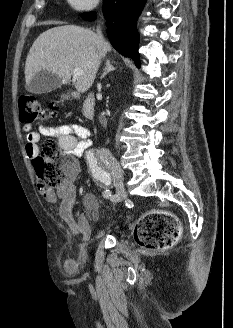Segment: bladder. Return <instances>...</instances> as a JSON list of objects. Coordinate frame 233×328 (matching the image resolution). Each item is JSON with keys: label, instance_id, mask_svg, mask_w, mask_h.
<instances>
[{"label": "bladder", "instance_id": "1", "mask_svg": "<svg viewBox=\"0 0 233 328\" xmlns=\"http://www.w3.org/2000/svg\"><path fill=\"white\" fill-rule=\"evenodd\" d=\"M83 203L85 207L86 216L88 219L99 220V221H102L104 219L103 211L101 210L98 201L93 195L91 194L85 195L83 199Z\"/></svg>", "mask_w": 233, "mask_h": 328}]
</instances>
